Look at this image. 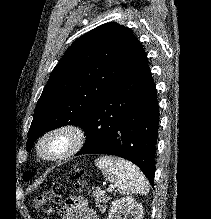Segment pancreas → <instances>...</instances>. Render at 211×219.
<instances>
[{"label": "pancreas", "mask_w": 211, "mask_h": 219, "mask_svg": "<svg viewBox=\"0 0 211 219\" xmlns=\"http://www.w3.org/2000/svg\"><path fill=\"white\" fill-rule=\"evenodd\" d=\"M93 196L95 197L96 200V206L101 210L104 211L105 210V205L109 200V197L103 195L101 192L99 191H95L93 192Z\"/></svg>", "instance_id": "obj_1"}]
</instances>
